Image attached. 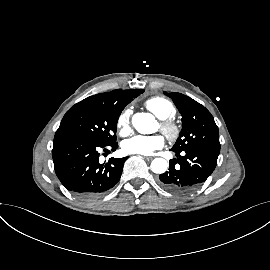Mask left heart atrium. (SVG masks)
Returning a JSON list of instances; mask_svg holds the SVG:
<instances>
[{
    "instance_id": "39dd6f15",
    "label": "left heart atrium",
    "mask_w": 270,
    "mask_h": 270,
    "mask_svg": "<svg viewBox=\"0 0 270 270\" xmlns=\"http://www.w3.org/2000/svg\"><path fill=\"white\" fill-rule=\"evenodd\" d=\"M164 144L165 139L161 135H136L125 140L122 148L128 154L150 155L154 151L161 149Z\"/></svg>"
}]
</instances>
